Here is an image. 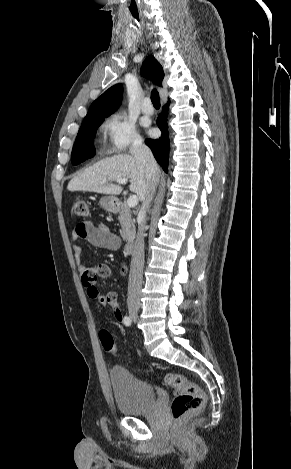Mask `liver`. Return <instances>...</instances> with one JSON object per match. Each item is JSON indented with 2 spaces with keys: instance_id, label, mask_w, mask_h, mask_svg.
Returning <instances> with one entry per match:
<instances>
[{
  "instance_id": "1",
  "label": "liver",
  "mask_w": 291,
  "mask_h": 469,
  "mask_svg": "<svg viewBox=\"0 0 291 469\" xmlns=\"http://www.w3.org/2000/svg\"><path fill=\"white\" fill-rule=\"evenodd\" d=\"M120 178L130 180V191L136 193L139 200L143 202L151 187L157 186L159 168L152 178H148L145 167L133 155L119 154L86 168L70 180L67 189L72 192L89 191L119 195L122 187L110 182Z\"/></svg>"
}]
</instances>
